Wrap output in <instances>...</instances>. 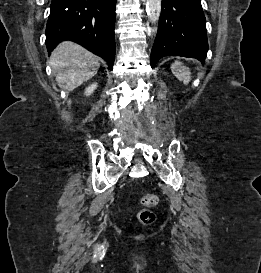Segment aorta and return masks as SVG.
Returning a JSON list of instances; mask_svg holds the SVG:
<instances>
[{"mask_svg":"<svg viewBox=\"0 0 261 273\" xmlns=\"http://www.w3.org/2000/svg\"><path fill=\"white\" fill-rule=\"evenodd\" d=\"M146 11L150 21L157 22L161 13V0H147Z\"/></svg>","mask_w":261,"mask_h":273,"instance_id":"aorta-1","label":"aorta"}]
</instances>
